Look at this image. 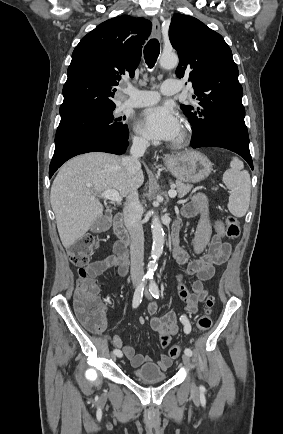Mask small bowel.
I'll list each match as a JSON object with an SVG mask.
<instances>
[{"instance_id":"c3829d8e","label":"small bowel","mask_w":283,"mask_h":434,"mask_svg":"<svg viewBox=\"0 0 283 434\" xmlns=\"http://www.w3.org/2000/svg\"><path fill=\"white\" fill-rule=\"evenodd\" d=\"M181 216L185 218L198 217V225L193 242L195 254H202L205 249L207 252L197 260H191L189 253L178 245H173V257L185 268L177 276L178 294L185 303V310L195 313L198 305L208 294L204 282L211 279L215 274V266L226 262L231 253V245L225 240L224 224L221 220L213 217L208 200L203 193H196L187 202L182 210ZM177 226V223L176 225ZM116 267L120 276H125L129 270L127 250L119 242L114 244L113 254L101 260L93 262L88 266V271L94 276L105 273L109 268ZM187 276H195L196 279L189 288L185 283ZM103 314L106 316V308L102 307ZM157 311V304L152 302L147 307V313L153 316ZM151 327L160 336L162 348L168 347L171 337L178 331V316L175 312H168L162 316L151 318ZM106 322H103L104 329ZM113 345L118 348L122 355L130 360L134 368H139L145 363H151L152 359L148 355L138 354L134 347L124 345L118 335L112 337ZM172 363V358L168 354H162L157 366L165 371Z\"/></svg>"}]
</instances>
